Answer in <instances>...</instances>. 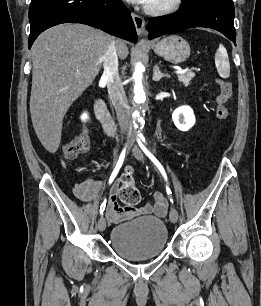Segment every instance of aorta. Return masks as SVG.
Returning a JSON list of instances; mask_svg holds the SVG:
<instances>
[{
	"instance_id": "obj_1",
	"label": "aorta",
	"mask_w": 261,
	"mask_h": 306,
	"mask_svg": "<svg viewBox=\"0 0 261 306\" xmlns=\"http://www.w3.org/2000/svg\"><path fill=\"white\" fill-rule=\"evenodd\" d=\"M142 69L143 66L141 63H138L135 67L133 73V79L135 81L134 85V111H133V122L139 123L143 118L144 109L146 106V94L142 85Z\"/></svg>"
}]
</instances>
